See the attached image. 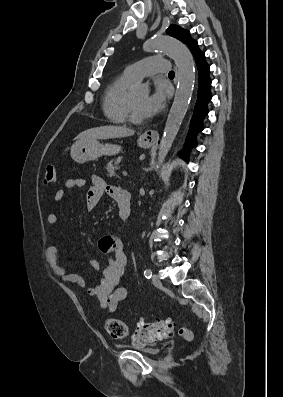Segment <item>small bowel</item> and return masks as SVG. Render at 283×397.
I'll list each match as a JSON object with an SVG mask.
<instances>
[{"label":"small bowel","mask_w":283,"mask_h":397,"mask_svg":"<svg viewBox=\"0 0 283 397\" xmlns=\"http://www.w3.org/2000/svg\"><path fill=\"white\" fill-rule=\"evenodd\" d=\"M86 184L84 178L68 179L65 182L67 189L82 188ZM104 193H107L118 204L125 193L120 188L108 185L103 178L98 175L91 176V186L86 195V206L88 211L94 210L99 204ZM65 197V191L58 189L55 192L54 200L61 202ZM47 221L51 225L58 223V215L50 213ZM99 249L108 255L107 264L102 268V278L93 287H88L85 278L77 273H70L65 267L59 264V249L56 245H49L45 251L46 261L52 272L63 282L77 285L85 289L90 296H96L99 300L101 310L110 313L115 312L118 304L126 301L130 297V291L120 285L126 264L127 256L121 240L114 235H107L99 240ZM89 265L93 269H100V263L95 259L89 260Z\"/></svg>","instance_id":"small-bowel-1"}]
</instances>
